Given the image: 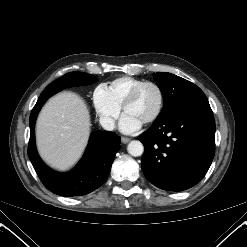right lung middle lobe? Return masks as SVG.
I'll list each match as a JSON object with an SVG mask.
<instances>
[{"instance_id":"1","label":"right lung middle lobe","mask_w":247,"mask_h":247,"mask_svg":"<svg viewBox=\"0 0 247 247\" xmlns=\"http://www.w3.org/2000/svg\"><path fill=\"white\" fill-rule=\"evenodd\" d=\"M97 78L93 75H89L82 72H71L63 75L54 82L50 83L46 90H58L61 91L64 88L87 85L95 82Z\"/></svg>"}]
</instances>
